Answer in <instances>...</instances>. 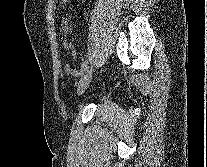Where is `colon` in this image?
I'll return each mask as SVG.
<instances>
[{
  "mask_svg": "<svg viewBox=\"0 0 207 167\" xmlns=\"http://www.w3.org/2000/svg\"><path fill=\"white\" fill-rule=\"evenodd\" d=\"M63 22L65 23V25H68V24H67V20H66V19H63Z\"/></svg>",
  "mask_w": 207,
  "mask_h": 167,
  "instance_id": "5ec220e1",
  "label": "colon"
}]
</instances>
